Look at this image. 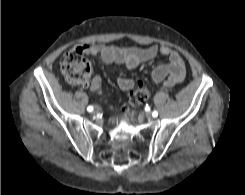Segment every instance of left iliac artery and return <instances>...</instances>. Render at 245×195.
I'll use <instances>...</instances> for the list:
<instances>
[{"label":"left iliac artery","mask_w":245,"mask_h":195,"mask_svg":"<svg viewBox=\"0 0 245 195\" xmlns=\"http://www.w3.org/2000/svg\"><path fill=\"white\" fill-rule=\"evenodd\" d=\"M152 116H153V117H157V116H158V112H157V111H153V112H152Z\"/></svg>","instance_id":"1"}]
</instances>
